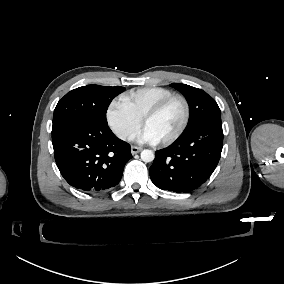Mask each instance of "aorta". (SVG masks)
<instances>
[{"label": "aorta", "mask_w": 284, "mask_h": 284, "mask_svg": "<svg viewBox=\"0 0 284 284\" xmlns=\"http://www.w3.org/2000/svg\"><path fill=\"white\" fill-rule=\"evenodd\" d=\"M155 158V155L153 153V151L145 149L141 152V159L142 161L148 163V162H152Z\"/></svg>", "instance_id": "aorta-1"}]
</instances>
